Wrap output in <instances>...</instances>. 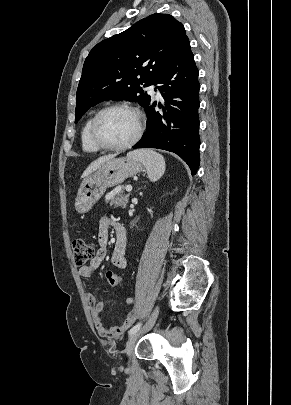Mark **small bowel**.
<instances>
[{"label":"small bowel","mask_w":291,"mask_h":405,"mask_svg":"<svg viewBox=\"0 0 291 405\" xmlns=\"http://www.w3.org/2000/svg\"><path fill=\"white\" fill-rule=\"evenodd\" d=\"M113 228L115 232V244L111 255L112 264L120 269H123L127 265L126 260V231L125 228L110 216H103L99 222L98 230V243L100 248L97 250L95 256L91 259L90 263L79 268V274L82 277H90L96 269L101 265L106 257V246L109 239V229ZM87 301L90 305L91 316L96 327L98 334L106 339L118 338L123 335L129 327L136 320V311H131L126 319L118 326L106 327L101 320V312L104 309V303L98 301L96 297L88 293ZM126 303L129 306H135V300L131 297L126 298Z\"/></svg>","instance_id":"1"}]
</instances>
